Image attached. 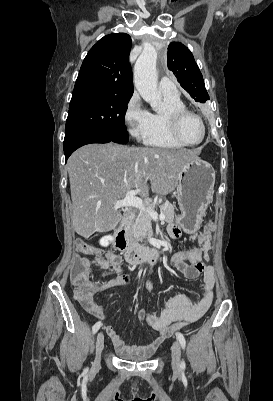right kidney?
Masks as SVG:
<instances>
[{
  "instance_id": "obj_1",
  "label": "right kidney",
  "mask_w": 273,
  "mask_h": 401,
  "mask_svg": "<svg viewBox=\"0 0 273 401\" xmlns=\"http://www.w3.org/2000/svg\"><path fill=\"white\" fill-rule=\"evenodd\" d=\"M112 239H113V237H110V235H108V237H102V239H100L99 243H100L101 247H108V245H110Z\"/></svg>"
}]
</instances>
